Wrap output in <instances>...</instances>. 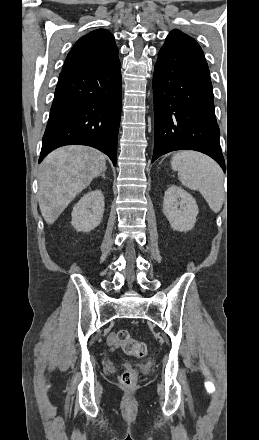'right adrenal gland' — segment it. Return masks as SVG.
Returning a JSON list of instances; mask_svg holds the SVG:
<instances>
[{
	"label": "right adrenal gland",
	"instance_id": "obj_1",
	"mask_svg": "<svg viewBox=\"0 0 259 440\" xmlns=\"http://www.w3.org/2000/svg\"><path fill=\"white\" fill-rule=\"evenodd\" d=\"M101 176H102L103 178H105V173L103 172V173L101 174Z\"/></svg>",
	"mask_w": 259,
	"mask_h": 440
}]
</instances>
